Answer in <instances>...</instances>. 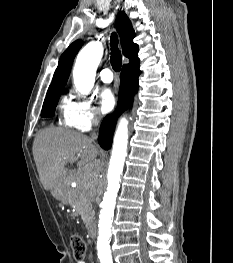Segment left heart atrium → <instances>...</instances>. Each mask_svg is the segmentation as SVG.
Segmentation results:
<instances>
[{
	"label": "left heart atrium",
	"instance_id": "left-heart-atrium-1",
	"mask_svg": "<svg viewBox=\"0 0 233 263\" xmlns=\"http://www.w3.org/2000/svg\"><path fill=\"white\" fill-rule=\"evenodd\" d=\"M115 105V97L109 88H104L100 92V110L107 113L113 109Z\"/></svg>",
	"mask_w": 233,
	"mask_h": 263
}]
</instances>
